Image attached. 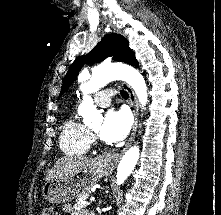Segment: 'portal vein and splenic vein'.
Returning a JSON list of instances; mask_svg holds the SVG:
<instances>
[{
  "label": "portal vein and splenic vein",
  "mask_w": 221,
  "mask_h": 215,
  "mask_svg": "<svg viewBox=\"0 0 221 215\" xmlns=\"http://www.w3.org/2000/svg\"><path fill=\"white\" fill-rule=\"evenodd\" d=\"M89 201L91 202L95 201V197H90Z\"/></svg>",
  "instance_id": "portal-vein-and-splenic-vein-1"
}]
</instances>
